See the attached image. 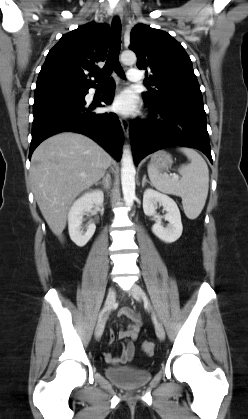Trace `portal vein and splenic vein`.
<instances>
[{"label": "portal vein and splenic vein", "instance_id": "portal-vein-and-splenic-vein-1", "mask_svg": "<svg viewBox=\"0 0 248 419\" xmlns=\"http://www.w3.org/2000/svg\"><path fill=\"white\" fill-rule=\"evenodd\" d=\"M173 178L177 180L179 177H178V175L173 174Z\"/></svg>", "mask_w": 248, "mask_h": 419}]
</instances>
